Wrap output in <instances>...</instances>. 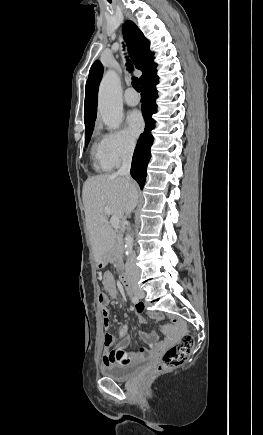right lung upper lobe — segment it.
I'll use <instances>...</instances> for the list:
<instances>
[{
	"label": "right lung upper lobe",
	"mask_w": 263,
	"mask_h": 435,
	"mask_svg": "<svg viewBox=\"0 0 263 435\" xmlns=\"http://www.w3.org/2000/svg\"><path fill=\"white\" fill-rule=\"evenodd\" d=\"M123 36L128 45L129 54L135 67L143 72L140 77L141 84L156 73L157 64L154 63V53L150 51V42L146 39L136 24L130 20L123 26ZM103 74V67L95 61L90 69L86 82L84 122L85 131L94 127L97 113L98 88Z\"/></svg>",
	"instance_id": "1"
}]
</instances>
